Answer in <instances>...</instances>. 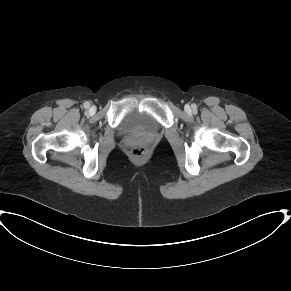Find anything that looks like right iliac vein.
<instances>
[{"label": "right iliac vein", "mask_w": 291, "mask_h": 291, "mask_svg": "<svg viewBox=\"0 0 291 291\" xmlns=\"http://www.w3.org/2000/svg\"><path fill=\"white\" fill-rule=\"evenodd\" d=\"M89 112H90V113H94V112H95V108H94V107H91V108L89 109Z\"/></svg>", "instance_id": "1"}]
</instances>
